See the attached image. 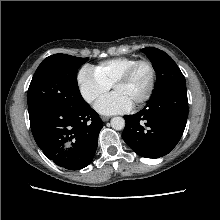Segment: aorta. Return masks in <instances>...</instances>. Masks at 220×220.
<instances>
[{
	"label": "aorta",
	"mask_w": 220,
	"mask_h": 220,
	"mask_svg": "<svg viewBox=\"0 0 220 220\" xmlns=\"http://www.w3.org/2000/svg\"><path fill=\"white\" fill-rule=\"evenodd\" d=\"M111 126L115 130H122L125 127V120L122 117H113L111 119Z\"/></svg>",
	"instance_id": "1"
}]
</instances>
